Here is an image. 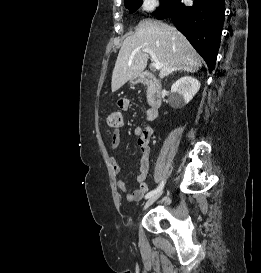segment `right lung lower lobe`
<instances>
[{"instance_id": "right-lung-lower-lobe-1", "label": "right lung lower lobe", "mask_w": 261, "mask_h": 273, "mask_svg": "<svg viewBox=\"0 0 261 273\" xmlns=\"http://www.w3.org/2000/svg\"><path fill=\"white\" fill-rule=\"evenodd\" d=\"M225 0H173L154 15L157 19L170 18L175 27L189 40L203 57L211 73L215 67L223 29Z\"/></svg>"}]
</instances>
